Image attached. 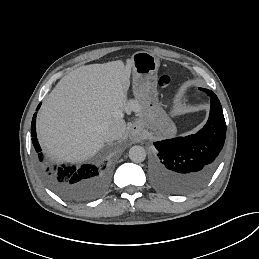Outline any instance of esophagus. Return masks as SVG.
I'll list each match as a JSON object with an SVG mask.
<instances>
[{
    "instance_id": "esophagus-1",
    "label": "esophagus",
    "mask_w": 259,
    "mask_h": 259,
    "mask_svg": "<svg viewBox=\"0 0 259 259\" xmlns=\"http://www.w3.org/2000/svg\"><path fill=\"white\" fill-rule=\"evenodd\" d=\"M129 137L134 142H139L144 138L143 129L139 123H134L132 125Z\"/></svg>"
}]
</instances>
